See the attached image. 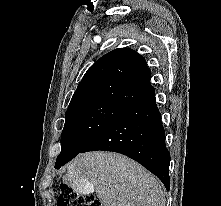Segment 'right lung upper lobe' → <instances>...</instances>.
Returning a JSON list of instances; mask_svg holds the SVG:
<instances>
[{
	"instance_id": "right-lung-upper-lobe-1",
	"label": "right lung upper lobe",
	"mask_w": 221,
	"mask_h": 206,
	"mask_svg": "<svg viewBox=\"0 0 221 206\" xmlns=\"http://www.w3.org/2000/svg\"><path fill=\"white\" fill-rule=\"evenodd\" d=\"M150 79L141 55L128 48L115 49L88 69L67 111L94 104L127 108L154 89Z\"/></svg>"
}]
</instances>
